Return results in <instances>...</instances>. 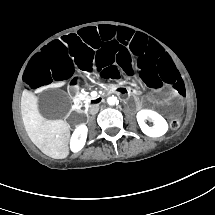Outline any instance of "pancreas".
<instances>
[{
    "instance_id": "obj_1",
    "label": "pancreas",
    "mask_w": 215,
    "mask_h": 215,
    "mask_svg": "<svg viewBox=\"0 0 215 215\" xmlns=\"http://www.w3.org/2000/svg\"><path fill=\"white\" fill-rule=\"evenodd\" d=\"M92 97L90 95H85L84 96V102H87L88 100H90Z\"/></svg>"
}]
</instances>
